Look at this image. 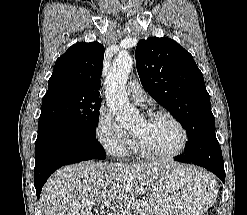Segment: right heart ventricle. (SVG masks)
<instances>
[{"label": "right heart ventricle", "mask_w": 247, "mask_h": 215, "mask_svg": "<svg viewBox=\"0 0 247 215\" xmlns=\"http://www.w3.org/2000/svg\"><path fill=\"white\" fill-rule=\"evenodd\" d=\"M126 153H129V154H131V153L137 154L138 153L136 146H135L134 139L131 136H130V140H129V144H128Z\"/></svg>", "instance_id": "obj_1"}]
</instances>
